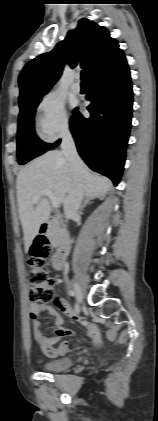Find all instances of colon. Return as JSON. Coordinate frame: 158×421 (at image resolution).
<instances>
[{"label": "colon", "mask_w": 158, "mask_h": 421, "mask_svg": "<svg viewBox=\"0 0 158 421\" xmlns=\"http://www.w3.org/2000/svg\"><path fill=\"white\" fill-rule=\"evenodd\" d=\"M49 252V244L45 237H38L31 247L26 275L31 305H42L54 298L55 282L46 269ZM32 319H36V314H32Z\"/></svg>", "instance_id": "obj_1"}]
</instances>
